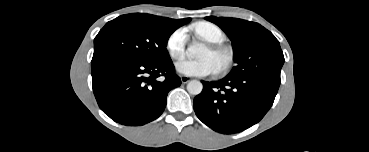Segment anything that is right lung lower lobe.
Wrapping results in <instances>:
<instances>
[{
	"label": "right lung lower lobe",
	"instance_id": "right-lung-lower-lobe-1",
	"mask_svg": "<svg viewBox=\"0 0 369 152\" xmlns=\"http://www.w3.org/2000/svg\"><path fill=\"white\" fill-rule=\"evenodd\" d=\"M160 76L165 79L159 81ZM92 83L104 113L120 124L138 126L163 113L168 92L181 79L170 58L148 63L112 59L92 67Z\"/></svg>",
	"mask_w": 369,
	"mask_h": 152
}]
</instances>
